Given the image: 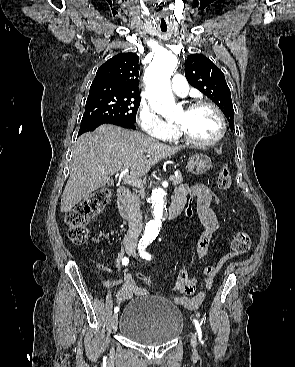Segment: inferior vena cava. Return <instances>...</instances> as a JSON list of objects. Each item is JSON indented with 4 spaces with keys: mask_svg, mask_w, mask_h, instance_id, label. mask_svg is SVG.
Segmentation results:
<instances>
[{
    "mask_svg": "<svg viewBox=\"0 0 295 367\" xmlns=\"http://www.w3.org/2000/svg\"><path fill=\"white\" fill-rule=\"evenodd\" d=\"M142 216L138 197L133 195L130 200L129 229L124 237L125 246H135L142 230Z\"/></svg>",
    "mask_w": 295,
    "mask_h": 367,
    "instance_id": "1",
    "label": "inferior vena cava"
}]
</instances>
